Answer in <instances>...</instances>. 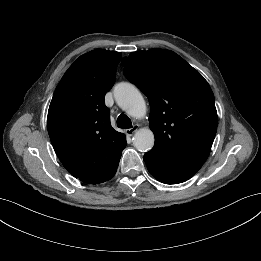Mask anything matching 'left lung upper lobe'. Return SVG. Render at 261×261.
Returning a JSON list of instances; mask_svg holds the SVG:
<instances>
[{"mask_svg":"<svg viewBox=\"0 0 261 261\" xmlns=\"http://www.w3.org/2000/svg\"><path fill=\"white\" fill-rule=\"evenodd\" d=\"M122 65L127 79L150 103L149 124L155 136L150 151L176 162L203 164L218 123L207 81L170 50L132 52Z\"/></svg>","mask_w":261,"mask_h":261,"instance_id":"obj_1","label":"left lung upper lobe"}]
</instances>
